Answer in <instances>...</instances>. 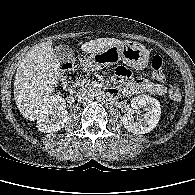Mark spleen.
I'll return each instance as SVG.
<instances>
[{"label":"spleen","mask_w":195,"mask_h":195,"mask_svg":"<svg viewBox=\"0 0 195 195\" xmlns=\"http://www.w3.org/2000/svg\"><path fill=\"white\" fill-rule=\"evenodd\" d=\"M173 117H174V115H171V116H170V119H173Z\"/></svg>","instance_id":"obj_1"}]
</instances>
